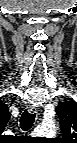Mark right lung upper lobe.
<instances>
[{
	"label": "right lung upper lobe",
	"instance_id": "right-lung-upper-lobe-1",
	"mask_svg": "<svg viewBox=\"0 0 77 143\" xmlns=\"http://www.w3.org/2000/svg\"><path fill=\"white\" fill-rule=\"evenodd\" d=\"M9 107L0 101V127L3 130L10 118Z\"/></svg>",
	"mask_w": 77,
	"mask_h": 143
}]
</instances>
